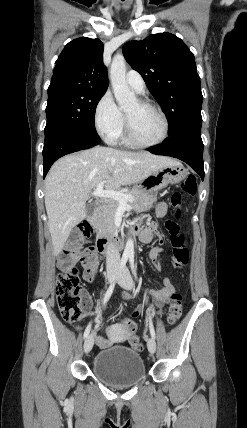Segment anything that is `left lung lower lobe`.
<instances>
[{
  "label": "left lung lower lobe",
  "instance_id": "0a47b994",
  "mask_svg": "<svg viewBox=\"0 0 247 428\" xmlns=\"http://www.w3.org/2000/svg\"><path fill=\"white\" fill-rule=\"evenodd\" d=\"M149 152L178 158L191 166L204 179L203 142L201 127L182 130L161 146L147 149Z\"/></svg>",
  "mask_w": 247,
  "mask_h": 428
}]
</instances>
